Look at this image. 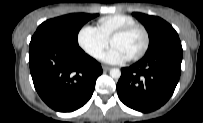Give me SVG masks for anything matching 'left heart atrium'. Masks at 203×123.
Listing matches in <instances>:
<instances>
[{
	"label": "left heart atrium",
	"mask_w": 203,
	"mask_h": 123,
	"mask_svg": "<svg viewBox=\"0 0 203 123\" xmlns=\"http://www.w3.org/2000/svg\"><path fill=\"white\" fill-rule=\"evenodd\" d=\"M103 60L111 64H121L129 60V57L119 48L112 46L104 55Z\"/></svg>",
	"instance_id": "obj_1"
}]
</instances>
